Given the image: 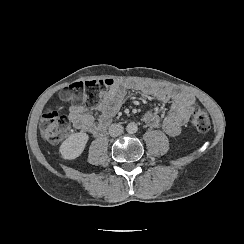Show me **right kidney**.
Returning <instances> with one entry per match:
<instances>
[{
  "mask_svg": "<svg viewBox=\"0 0 244 244\" xmlns=\"http://www.w3.org/2000/svg\"><path fill=\"white\" fill-rule=\"evenodd\" d=\"M89 135L78 132L70 135L59 147L60 157L66 161L77 159L84 151Z\"/></svg>",
  "mask_w": 244,
  "mask_h": 244,
  "instance_id": "right-kidney-1",
  "label": "right kidney"
}]
</instances>
